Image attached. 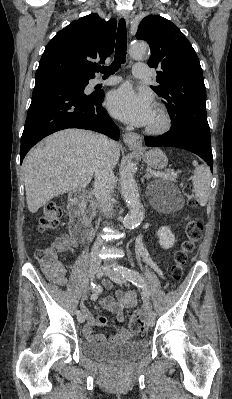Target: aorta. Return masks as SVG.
Listing matches in <instances>:
<instances>
[{"label":"aorta","mask_w":232,"mask_h":399,"mask_svg":"<svg viewBox=\"0 0 232 399\" xmlns=\"http://www.w3.org/2000/svg\"><path fill=\"white\" fill-rule=\"evenodd\" d=\"M148 49L145 42H134L129 49L130 55L136 59L142 58ZM135 164L131 161L124 167L120 183L121 195L127 203L129 212L125 216L123 224L128 229H134L143 220L144 212L140 202V195L134 178Z\"/></svg>","instance_id":"obj_1"}]
</instances>
